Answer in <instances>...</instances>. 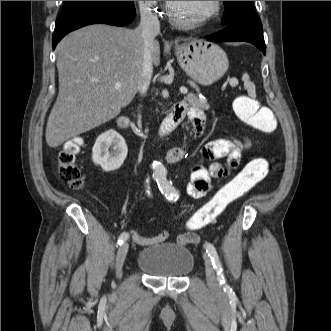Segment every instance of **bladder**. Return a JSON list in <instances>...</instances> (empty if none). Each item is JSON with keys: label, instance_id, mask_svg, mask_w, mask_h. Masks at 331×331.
I'll return each instance as SVG.
<instances>
[{"label": "bladder", "instance_id": "bladder-1", "mask_svg": "<svg viewBox=\"0 0 331 331\" xmlns=\"http://www.w3.org/2000/svg\"><path fill=\"white\" fill-rule=\"evenodd\" d=\"M136 263L152 278L180 279L193 271L195 259L187 246L168 242L145 247Z\"/></svg>", "mask_w": 331, "mask_h": 331}]
</instances>
